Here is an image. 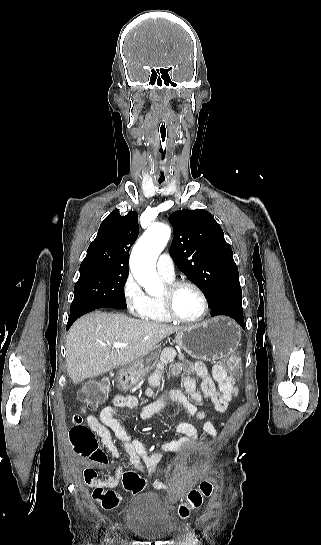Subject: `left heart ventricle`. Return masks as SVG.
<instances>
[{
    "label": "left heart ventricle",
    "instance_id": "obj_1",
    "mask_svg": "<svg viewBox=\"0 0 321 545\" xmlns=\"http://www.w3.org/2000/svg\"><path fill=\"white\" fill-rule=\"evenodd\" d=\"M166 299H170L174 311L183 319L193 320L202 313V300L199 294L191 288H183L171 297L164 288L161 300Z\"/></svg>",
    "mask_w": 321,
    "mask_h": 545
}]
</instances>
